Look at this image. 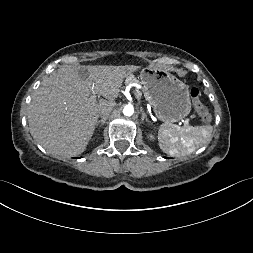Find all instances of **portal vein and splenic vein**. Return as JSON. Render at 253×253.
<instances>
[{
  "label": "portal vein and splenic vein",
  "instance_id": "portal-vein-and-splenic-vein-1",
  "mask_svg": "<svg viewBox=\"0 0 253 253\" xmlns=\"http://www.w3.org/2000/svg\"><path fill=\"white\" fill-rule=\"evenodd\" d=\"M133 92H134V94L136 95V97L138 98L139 95L137 94V92H136V91H133ZM92 98H93V99H96V93H94V94L92 95ZM183 122H184L185 125H188V121H187V120H184Z\"/></svg>",
  "mask_w": 253,
  "mask_h": 253
}]
</instances>
